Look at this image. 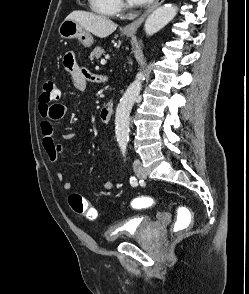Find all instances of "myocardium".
I'll return each instance as SVG.
<instances>
[{"label":"myocardium","instance_id":"obj_1","mask_svg":"<svg viewBox=\"0 0 249 294\" xmlns=\"http://www.w3.org/2000/svg\"><path fill=\"white\" fill-rule=\"evenodd\" d=\"M120 2L126 4V0H120Z\"/></svg>","mask_w":249,"mask_h":294}]
</instances>
